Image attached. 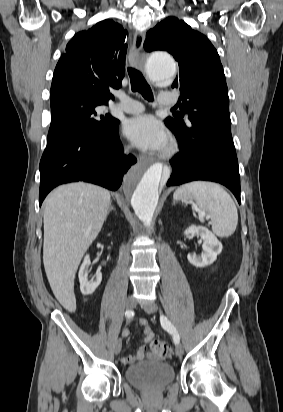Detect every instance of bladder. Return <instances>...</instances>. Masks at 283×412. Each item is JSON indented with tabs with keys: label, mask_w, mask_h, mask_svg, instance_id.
<instances>
[{
	"label": "bladder",
	"mask_w": 283,
	"mask_h": 412,
	"mask_svg": "<svg viewBox=\"0 0 283 412\" xmlns=\"http://www.w3.org/2000/svg\"><path fill=\"white\" fill-rule=\"evenodd\" d=\"M125 379L140 389L160 390L174 381L175 371L167 362H142L126 368Z\"/></svg>",
	"instance_id": "obj_1"
}]
</instances>
